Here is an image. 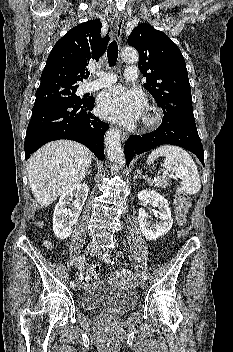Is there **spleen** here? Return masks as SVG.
I'll return each instance as SVG.
<instances>
[{
  "label": "spleen",
  "mask_w": 233,
  "mask_h": 352,
  "mask_svg": "<svg viewBox=\"0 0 233 352\" xmlns=\"http://www.w3.org/2000/svg\"><path fill=\"white\" fill-rule=\"evenodd\" d=\"M164 156L161 165L169 172L175 173L181 178L182 190L190 195L197 194L201 189L200 175L192 157L181 147L163 145L151 152L147 164H152L158 157Z\"/></svg>",
  "instance_id": "obj_1"
}]
</instances>
